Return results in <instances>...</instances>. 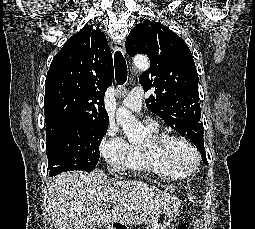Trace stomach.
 <instances>
[{"mask_svg":"<svg viewBox=\"0 0 255 229\" xmlns=\"http://www.w3.org/2000/svg\"><path fill=\"white\" fill-rule=\"evenodd\" d=\"M181 203L175 198L171 203L164 209L152 215L147 222L146 229H168L170 223L178 215ZM109 229H113L112 227Z\"/></svg>","mask_w":255,"mask_h":229,"instance_id":"1","label":"stomach"}]
</instances>
